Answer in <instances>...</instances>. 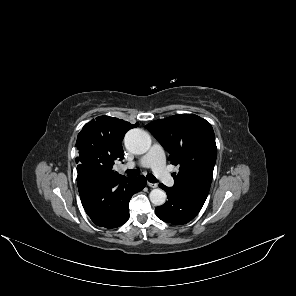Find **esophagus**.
Segmentation results:
<instances>
[{"instance_id":"1","label":"esophagus","mask_w":296,"mask_h":296,"mask_svg":"<svg viewBox=\"0 0 296 296\" xmlns=\"http://www.w3.org/2000/svg\"><path fill=\"white\" fill-rule=\"evenodd\" d=\"M147 185H148L149 187H151V188H156V187H158V185H157L156 183H150V182H148Z\"/></svg>"}]
</instances>
